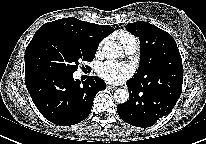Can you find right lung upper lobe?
<instances>
[{
  "mask_svg": "<svg viewBox=\"0 0 206 144\" xmlns=\"http://www.w3.org/2000/svg\"><path fill=\"white\" fill-rule=\"evenodd\" d=\"M113 31L114 28L108 25H97L69 17L45 23L35 34H58L89 46L98 47L100 41Z\"/></svg>",
  "mask_w": 206,
  "mask_h": 144,
  "instance_id": "1",
  "label": "right lung upper lobe"
}]
</instances>
